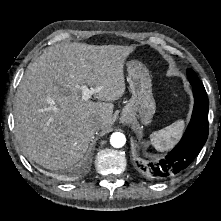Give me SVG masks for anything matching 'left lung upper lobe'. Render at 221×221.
<instances>
[{"label": "left lung upper lobe", "instance_id": "obj_1", "mask_svg": "<svg viewBox=\"0 0 221 221\" xmlns=\"http://www.w3.org/2000/svg\"><path fill=\"white\" fill-rule=\"evenodd\" d=\"M187 77L192 86L205 89L202 82L199 80L198 76L192 69H187Z\"/></svg>", "mask_w": 221, "mask_h": 221}]
</instances>
